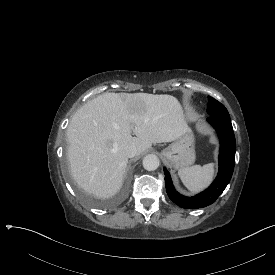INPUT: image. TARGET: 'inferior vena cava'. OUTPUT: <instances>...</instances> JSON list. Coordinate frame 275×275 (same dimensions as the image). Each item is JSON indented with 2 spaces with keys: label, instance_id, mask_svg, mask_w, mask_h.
<instances>
[{
  "label": "inferior vena cava",
  "instance_id": "1",
  "mask_svg": "<svg viewBox=\"0 0 275 275\" xmlns=\"http://www.w3.org/2000/svg\"><path fill=\"white\" fill-rule=\"evenodd\" d=\"M124 152H125L126 157H128V158H133L139 154L137 147L133 144L127 145L124 148Z\"/></svg>",
  "mask_w": 275,
  "mask_h": 275
}]
</instances>
